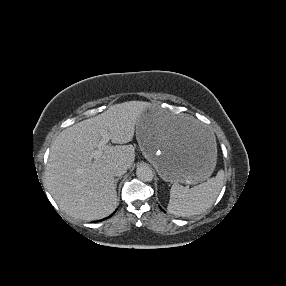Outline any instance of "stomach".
Instances as JSON below:
<instances>
[{
	"instance_id": "0dacf381",
	"label": "stomach",
	"mask_w": 286,
	"mask_h": 286,
	"mask_svg": "<svg viewBox=\"0 0 286 286\" xmlns=\"http://www.w3.org/2000/svg\"><path fill=\"white\" fill-rule=\"evenodd\" d=\"M136 137L144 157L164 181L194 185L215 169L216 135L193 116L161 112L151 105L137 121Z\"/></svg>"
}]
</instances>
